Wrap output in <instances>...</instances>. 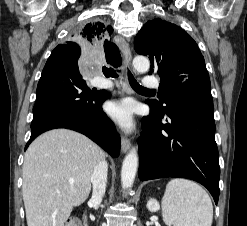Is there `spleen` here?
<instances>
[{"label": "spleen", "mask_w": 247, "mask_h": 226, "mask_svg": "<svg viewBox=\"0 0 247 226\" xmlns=\"http://www.w3.org/2000/svg\"><path fill=\"white\" fill-rule=\"evenodd\" d=\"M163 216L174 226H211L213 205L207 192L193 181L172 179L162 199Z\"/></svg>", "instance_id": "3e777b00"}]
</instances>
